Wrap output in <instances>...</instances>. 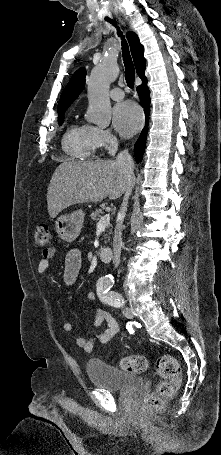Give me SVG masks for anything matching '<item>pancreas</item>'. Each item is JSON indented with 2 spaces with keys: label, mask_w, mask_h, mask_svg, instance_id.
Returning a JSON list of instances; mask_svg holds the SVG:
<instances>
[{
  "label": "pancreas",
  "mask_w": 221,
  "mask_h": 455,
  "mask_svg": "<svg viewBox=\"0 0 221 455\" xmlns=\"http://www.w3.org/2000/svg\"><path fill=\"white\" fill-rule=\"evenodd\" d=\"M103 213H104V212H103L102 209H96L95 211H93V212L89 215V217H90L92 220L97 221V220H99V218L102 217Z\"/></svg>",
  "instance_id": "cf45deb5"
}]
</instances>
